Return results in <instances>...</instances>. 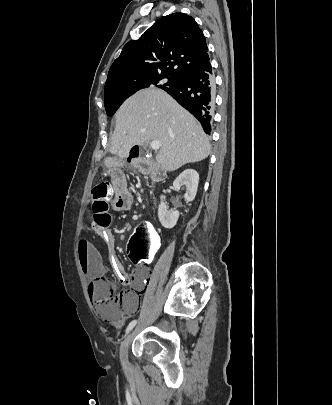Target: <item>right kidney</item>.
<instances>
[{
    "instance_id": "obj_1",
    "label": "right kidney",
    "mask_w": 332,
    "mask_h": 405,
    "mask_svg": "<svg viewBox=\"0 0 332 405\" xmlns=\"http://www.w3.org/2000/svg\"><path fill=\"white\" fill-rule=\"evenodd\" d=\"M199 183V174L196 170H184L173 182L175 190H180L183 185L186 186L184 198L187 202L195 199ZM161 203L158 207V218L161 225L166 229H172L177 224L179 212L177 210H168L164 203L165 196L161 195Z\"/></svg>"
}]
</instances>
